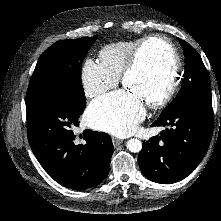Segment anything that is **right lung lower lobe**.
Wrapping results in <instances>:
<instances>
[{"mask_svg":"<svg viewBox=\"0 0 221 221\" xmlns=\"http://www.w3.org/2000/svg\"><path fill=\"white\" fill-rule=\"evenodd\" d=\"M86 104L67 92L50 94L26 107L30 146L44 170L58 183L85 190L101 183L110 168L114 147L104 132L85 130L78 143L73 132Z\"/></svg>","mask_w":221,"mask_h":221,"instance_id":"obj_1","label":"right lung lower lobe"}]
</instances>
